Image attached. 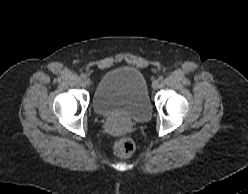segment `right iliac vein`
<instances>
[{
  "instance_id": "63e3f726",
  "label": "right iliac vein",
  "mask_w": 248,
  "mask_h": 194,
  "mask_svg": "<svg viewBox=\"0 0 248 194\" xmlns=\"http://www.w3.org/2000/svg\"><path fill=\"white\" fill-rule=\"evenodd\" d=\"M84 83L89 86L91 84V80L89 78L84 79Z\"/></svg>"
}]
</instances>
